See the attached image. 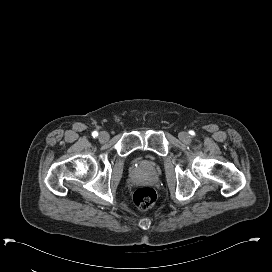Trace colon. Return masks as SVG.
Segmentation results:
<instances>
[{"instance_id": "5ec220e1", "label": "colon", "mask_w": 272, "mask_h": 272, "mask_svg": "<svg viewBox=\"0 0 272 272\" xmlns=\"http://www.w3.org/2000/svg\"><path fill=\"white\" fill-rule=\"evenodd\" d=\"M132 201L139 210H146L154 205L156 192L150 187L138 188L133 193Z\"/></svg>"}]
</instances>
